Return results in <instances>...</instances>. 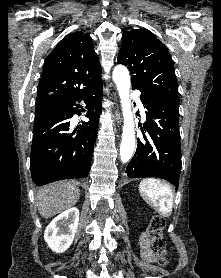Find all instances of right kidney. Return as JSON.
I'll return each mask as SVG.
<instances>
[{
	"label": "right kidney",
	"instance_id": "obj_1",
	"mask_svg": "<svg viewBox=\"0 0 221 278\" xmlns=\"http://www.w3.org/2000/svg\"><path fill=\"white\" fill-rule=\"evenodd\" d=\"M79 222V210L70 208L57 217L47 226L44 239L48 246L56 253H63L72 244Z\"/></svg>",
	"mask_w": 221,
	"mask_h": 278
}]
</instances>
